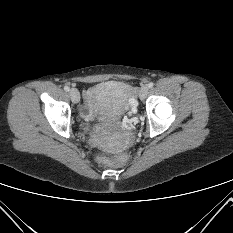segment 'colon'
Returning <instances> with one entry per match:
<instances>
[{
  "label": "colon",
  "instance_id": "5ec220e1",
  "mask_svg": "<svg viewBox=\"0 0 233 233\" xmlns=\"http://www.w3.org/2000/svg\"><path fill=\"white\" fill-rule=\"evenodd\" d=\"M98 161L101 163H106V164H117L118 163V159L116 157H112L106 154H102L101 156L98 157Z\"/></svg>",
  "mask_w": 233,
  "mask_h": 233
}]
</instances>
